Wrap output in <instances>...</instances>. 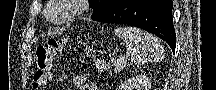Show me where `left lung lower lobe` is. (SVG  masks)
Here are the masks:
<instances>
[{"label": "left lung lower lobe", "mask_w": 216, "mask_h": 90, "mask_svg": "<svg viewBox=\"0 0 216 90\" xmlns=\"http://www.w3.org/2000/svg\"><path fill=\"white\" fill-rule=\"evenodd\" d=\"M171 0H122L93 20L136 26L166 41L175 52L176 35Z\"/></svg>", "instance_id": "0a47b994"}]
</instances>
